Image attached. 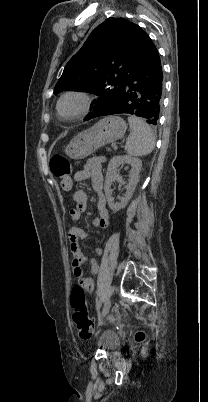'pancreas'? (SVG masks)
Wrapping results in <instances>:
<instances>
[{
  "label": "pancreas",
  "instance_id": "pancreas-1",
  "mask_svg": "<svg viewBox=\"0 0 208 402\" xmlns=\"http://www.w3.org/2000/svg\"><path fill=\"white\" fill-rule=\"evenodd\" d=\"M107 150H108V152H109L110 148H107Z\"/></svg>",
  "mask_w": 208,
  "mask_h": 402
}]
</instances>
